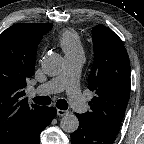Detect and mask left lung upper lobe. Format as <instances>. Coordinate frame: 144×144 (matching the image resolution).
I'll return each instance as SVG.
<instances>
[{
    "label": "left lung upper lobe",
    "mask_w": 144,
    "mask_h": 144,
    "mask_svg": "<svg viewBox=\"0 0 144 144\" xmlns=\"http://www.w3.org/2000/svg\"><path fill=\"white\" fill-rule=\"evenodd\" d=\"M95 58L88 88L96 93L91 110L80 114L94 127L117 134L130 95V61L121 39L109 28L92 30Z\"/></svg>",
    "instance_id": "5c2ea615"
}]
</instances>
